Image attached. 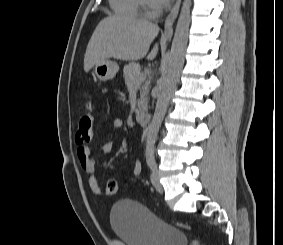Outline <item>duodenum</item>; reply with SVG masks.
I'll return each mask as SVG.
<instances>
[{
  "label": "duodenum",
  "instance_id": "obj_1",
  "mask_svg": "<svg viewBox=\"0 0 283 245\" xmlns=\"http://www.w3.org/2000/svg\"><path fill=\"white\" fill-rule=\"evenodd\" d=\"M150 119L151 117L148 113H139L137 115V121L143 127L148 126V124L150 123Z\"/></svg>",
  "mask_w": 283,
  "mask_h": 245
}]
</instances>
